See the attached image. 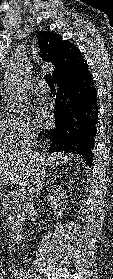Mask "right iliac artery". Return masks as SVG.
<instances>
[{"label": "right iliac artery", "mask_w": 113, "mask_h": 279, "mask_svg": "<svg viewBox=\"0 0 113 279\" xmlns=\"http://www.w3.org/2000/svg\"><path fill=\"white\" fill-rule=\"evenodd\" d=\"M17 279H25L27 277V271L24 269H18L14 272Z\"/></svg>", "instance_id": "82829eb1"}]
</instances>
